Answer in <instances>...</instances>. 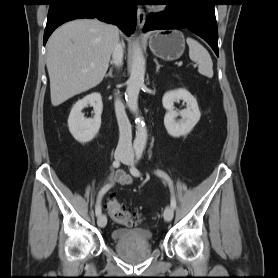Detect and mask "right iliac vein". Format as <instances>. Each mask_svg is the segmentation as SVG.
Here are the masks:
<instances>
[{"label":"right iliac vein","mask_w":278,"mask_h":278,"mask_svg":"<svg viewBox=\"0 0 278 278\" xmlns=\"http://www.w3.org/2000/svg\"><path fill=\"white\" fill-rule=\"evenodd\" d=\"M126 157H127V154L124 153V152H116V153H115V159H116V160H124ZM97 223H98V226H99V227H101V228L105 227L106 224H107V218H106V216L103 215V214L100 215V216L98 217Z\"/></svg>","instance_id":"right-iliac-vein-1"}]
</instances>
